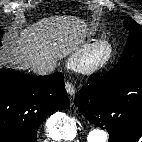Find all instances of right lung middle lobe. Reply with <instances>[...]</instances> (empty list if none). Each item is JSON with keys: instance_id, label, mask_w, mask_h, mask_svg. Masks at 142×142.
I'll return each instance as SVG.
<instances>
[{"instance_id": "right-lung-middle-lobe-1", "label": "right lung middle lobe", "mask_w": 142, "mask_h": 142, "mask_svg": "<svg viewBox=\"0 0 142 142\" xmlns=\"http://www.w3.org/2000/svg\"><path fill=\"white\" fill-rule=\"evenodd\" d=\"M2 31L0 30V42H1Z\"/></svg>"}]
</instances>
